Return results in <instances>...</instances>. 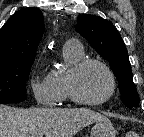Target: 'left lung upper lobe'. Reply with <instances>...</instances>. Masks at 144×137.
Returning a JSON list of instances; mask_svg holds the SVG:
<instances>
[{
    "label": "left lung upper lobe",
    "mask_w": 144,
    "mask_h": 137,
    "mask_svg": "<svg viewBox=\"0 0 144 137\" xmlns=\"http://www.w3.org/2000/svg\"><path fill=\"white\" fill-rule=\"evenodd\" d=\"M77 31L100 54L114 72L126 107H137L139 97L133 83L131 64L125 44L115 26L99 16L80 15L77 18Z\"/></svg>",
    "instance_id": "1"
}]
</instances>
